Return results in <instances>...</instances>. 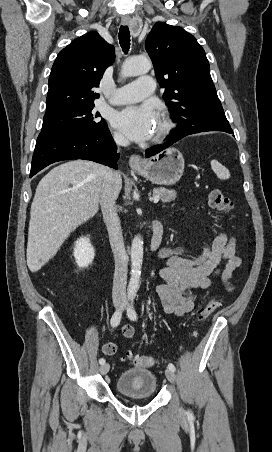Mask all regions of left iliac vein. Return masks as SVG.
Listing matches in <instances>:
<instances>
[{
  "label": "left iliac vein",
  "instance_id": "obj_1",
  "mask_svg": "<svg viewBox=\"0 0 272 452\" xmlns=\"http://www.w3.org/2000/svg\"><path fill=\"white\" fill-rule=\"evenodd\" d=\"M125 306H126V304H124V307ZM165 376H166V378L168 379L169 382H171L173 384L175 383L176 377H175L174 371H172L171 369L167 368L165 370Z\"/></svg>",
  "mask_w": 272,
  "mask_h": 452
}]
</instances>
